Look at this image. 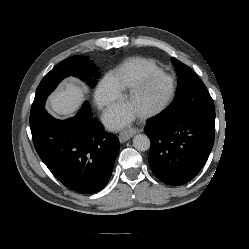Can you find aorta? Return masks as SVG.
I'll list each match as a JSON object with an SVG mask.
<instances>
[{"label": "aorta", "mask_w": 249, "mask_h": 249, "mask_svg": "<svg viewBox=\"0 0 249 249\" xmlns=\"http://www.w3.org/2000/svg\"><path fill=\"white\" fill-rule=\"evenodd\" d=\"M133 146L138 151H147L150 148V139L145 134H137L133 138Z\"/></svg>", "instance_id": "obj_1"}]
</instances>
